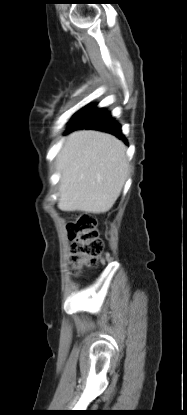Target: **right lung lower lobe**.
<instances>
[{"label": "right lung lower lobe", "instance_id": "obj_1", "mask_svg": "<svg viewBox=\"0 0 187 415\" xmlns=\"http://www.w3.org/2000/svg\"><path fill=\"white\" fill-rule=\"evenodd\" d=\"M77 129H94L111 133L127 143L121 133L120 124H118L103 108H97L96 105H88L81 109L72 118L66 133Z\"/></svg>", "mask_w": 187, "mask_h": 415}]
</instances>
